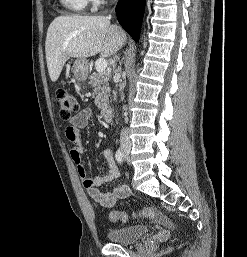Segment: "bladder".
Wrapping results in <instances>:
<instances>
[{"label": "bladder", "mask_w": 247, "mask_h": 257, "mask_svg": "<svg viewBox=\"0 0 247 257\" xmlns=\"http://www.w3.org/2000/svg\"><path fill=\"white\" fill-rule=\"evenodd\" d=\"M149 232L145 225H131L107 230L108 239L116 244H132L144 238Z\"/></svg>", "instance_id": "1"}]
</instances>
